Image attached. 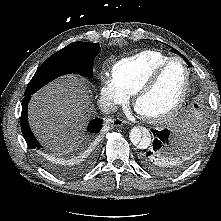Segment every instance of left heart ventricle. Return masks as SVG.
Returning a JSON list of instances; mask_svg holds the SVG:
<instances>
[{"instance_id":"b2bd125f","label":"left heart ventricle","mask_w":221,"mask_h":221,"mask_svg":"<svg viewBox=\"0 0 221 221\" xmlns=\"http://www.w3.org/2000/svg\"><path fill=\"white\" fill-rule=\"evenodd\" d=\"M185 81L183 64L179 61L173 62L164 71L155 87L139 100L138 111L148 116L168 111L181 96Z\"/></svg>"}]
</instances>
